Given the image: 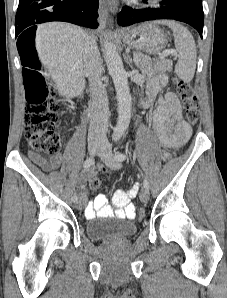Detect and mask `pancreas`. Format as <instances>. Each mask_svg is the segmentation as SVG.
Listing matches in <instances>:
<instances>
[{"label":"pancreas","mask_w":227,"mask_h":298,"mask_svg":"<svg viewBox=\"0 0 227 298\" xmlns=\"http://www.w3.org/2000/svg\"><path fill=\"white\" fill-rule=\"evenodd\" d=\"M140 57V61L136 64L137 67L141 70L143 75H152L159 72L171 71L173 63L171 60L161 58L160 60H152L147 55L142 53H135Z\"/></svg>","instance_id":"pancreas-1"}]
</instances>
